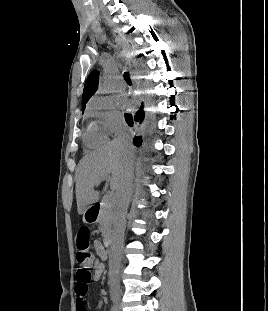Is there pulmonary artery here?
Here are the masks:
<instances>
[{"instance_id":"obj_1","label":"pulmonary artery","mask_w":268,"mask_h":311,"mask_svg":"<svg viewBox=\"0 0 268 311\" xmlns=\"http://www.w3.org/2000/svg\"><path fill=\"white\" fill-rule=\"evenodd\" d=\"M124 87H125V85L122 82H119L118 88L122 89Z\"/></svg>"}]
</instances>
